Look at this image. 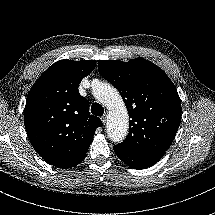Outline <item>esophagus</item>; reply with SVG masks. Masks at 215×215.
<instances>
[{
    "label": "esophagus",
    "instance_id": "34e87169",
    "mask_svg": "<svg viewBox=\"0 0 215 215\" xmlns=\"http://www.w3.org/2000/svg\"><path fill=\"white\" fill-rule=\"evenodd\" d=\"M106 118H107V114L105 113V114L101 117V120H102V123H103V124L106 123Z\"/></svg>",
    "mask_w": 215,
    "mask_h": 215
}]
</instances>
